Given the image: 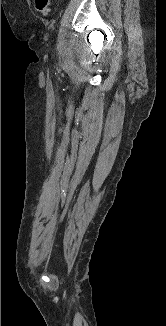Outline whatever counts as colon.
<instances>
[{
  "label": "colon",
  "instance_id": "1",
  "mask_svg": "<svg viewBox=\"0 0 166 326\" xmlns=\"http://www.w3.org/2000/svg\"><path fill=\"white\" fill-rule=\"evenodd\" d=\"M35 7L43 16L50 14V0H35Z\"/></svg>",
  "mask_w": 166,
  "mask_h": 326
}]
</instances>
